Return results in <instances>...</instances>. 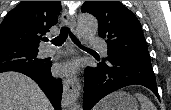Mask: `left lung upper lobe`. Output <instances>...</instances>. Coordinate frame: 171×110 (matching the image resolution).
Here are the masks:
<instances>
[{
  "mask_svg": "<svg viewBox=\"0 0 171 110\" xmlns=\"http://www.w3.org/2000/svg\"><path fill=\"white\" fill-rule=\"evenodd\" d=\"M82 12L98 19V34L108 45V56L151 63L141 24L119 1H86Z\"/></svg>",
  "mask_w": 171,
  "mask_h": 110,
  "instance_id": "1",
  "label": "left lung upper lobe"
}]
</instances>
